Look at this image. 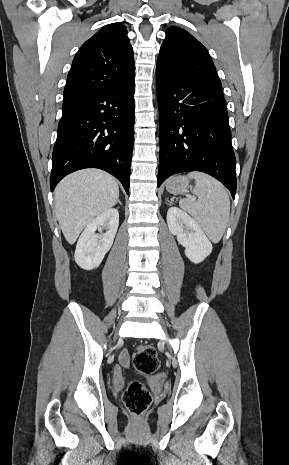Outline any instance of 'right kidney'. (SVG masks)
<instances>
[{
    "label": "right kidney",
    "mask_w": 289,
    "mask_h": 465,
    "mask_svg": "<svg viewBox=\"0 0 289 465\" xmlns=\"http://www.w3.org/2000/svg\"><path fill=\"white\" fill-rule=\"evenodd\" d=\"M119 226V212L110 208L95 219L84 229L76 245L75 262L85 270L97 268L105 254L110 250ZM106 230L101 235L96 231Z\"/></svg>",
    "instance_id": "right-kidney-1"
}]
</instances>
